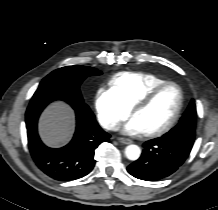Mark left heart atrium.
I'll use <instances>...</instances> for the list:
<instances>
[{
	"label": "left heart atrium",
	"mask_w": 218,
	"mask_h": 210,
	"mask_svg": "<svg viewBox=\"0 0 218 210\" xmlns=\"http://www.w3.org/2000/svg\"><path fill=\"white\" fill-rule=\"evenodd\" d=\"M123 131L129 135H138L143 133L140 124L135 117H132L123 127Z\"/></svg>",
	"instance_id": "39dd6f15"
}]
</instances>
